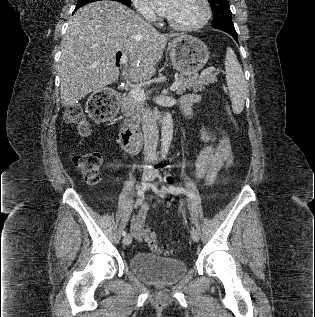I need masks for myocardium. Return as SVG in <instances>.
Segmentation results:
<instances>
[{"label": "myocardium", "instance_id": "f54148a6", "mask_svg": "<svg viewBox=\"0 0 315 317\" xmlns=\"http://www.w3.org/2000/svg\"><path fill=\"white\" fill-rule=\"evenodd\" d=\"M201 3L204 7V15L202 19L194 24H178L171 20L168 16L166 17L167 23L174 29L181 30V31H194L203 28L210 20L211 17V6L208 0H201Z\"/></svg>", "mask_w": 315, "mask_h": 317}]
</instances>
